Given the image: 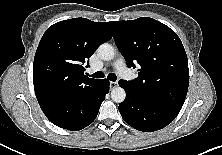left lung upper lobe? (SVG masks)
I'll list each match as a JSON object with an SVG mask.
<instances>
[{"label": "left lung upper lobe", "instance_id": "1", "mask_svg": "<svg viewBox=\"0 0 222 155\" xmlns=\"http://www.w3.org/2000/svg\"><path fill=\"white\" fill-rule=\"evenodd\" d=\"M110 27L127 66L140 65L135 80L120 83L142 97L181 109L187 95L189 69L178 35L149 17L110 22Z\"/></svg>", "mask_w": 222, "mask_h": 155}]
</instances>
